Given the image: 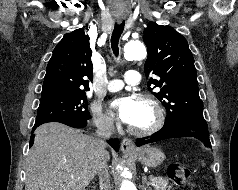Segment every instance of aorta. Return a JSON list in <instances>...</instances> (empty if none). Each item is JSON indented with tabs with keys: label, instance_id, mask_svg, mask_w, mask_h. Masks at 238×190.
<instances>
[{
	"label": "aorta",
	"instance_id": "1",
	"mask_svg": "<svg viewBox=\"0 0 238 190\" xmlns=\"http://www.w3.org/2000/svg\"><path fill=\"white\" fill-rule=\"evenodd\" d=\"M146 56L144 44L139 40H131L124 46V58L128 61L143 59ZM120 190H137L133 182L124 180Z\"/></svg>",
	"mask_w": 238,
	"mask_h": 190
}]
</instances>
